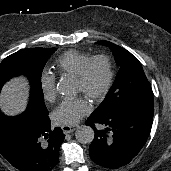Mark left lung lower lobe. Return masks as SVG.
Wrapping results in <instances>:
<instances>
[{
	"instance_id": "0a47b994",
	"label": "left lung lower lobe",
	"mask_w": 171,
	"mask_h": 171,
	"mask_svg": "<svg viewBox=\"0 0 171 171\" xmlns=\"http://www.w3.org/2000/svg\"><path fill=\"white\" fill-rule=\"evenodd\" d=\"M153 113L131 110L109 116H90L86 125L95 131V138L89 147L93 162L112 169L127 165L145 145ZM96 123L102 124L105 129L97 130Z\"/></svg>"
}]
</instances>
